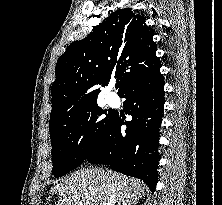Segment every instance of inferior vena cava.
<instances>
[{
  "instance_id": "602c4592",
  "label": "inferior vena cava",
  "mask_w": 222,
  "mask_h": 205,
  "mask_svg": "<svg viewBox=\"0 0 222 205\" xmlns=\"http://www.w3.org/2000/svg\"><path fill=\"white\" fill-rule=\"evenodd\" d=\"M116 194L113 189H110L107 192L106 197L102 201V205H114L115 204Z\"/></svg>"
}]
</instances>
